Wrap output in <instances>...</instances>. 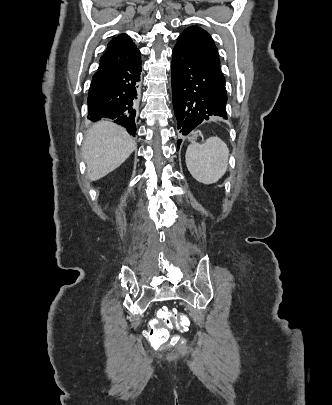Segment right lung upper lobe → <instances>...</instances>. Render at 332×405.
I'll return each instance as SVG.
<instances>
[{"label": "right lung upper lobe", "mask_w": 332, "mask_h": 405, "mask_svg": "<svg viewBox=\"0 0 332 405\" xmlns=\"http://www.w3.org/2000/svg\"><path fill=\"white\" fill-rule=\"evenodd\" d=\"M140 58V52L127 34H120L112 39L107 51L100 58L98 69L117 68Z\"/></svg>", "instance_id": "cb5924a9"}]
</instances>
